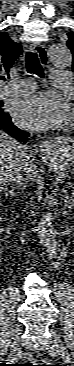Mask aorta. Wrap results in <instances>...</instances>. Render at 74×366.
I'll use <instances>...</instances> for the list:
<instances>
[{
	"label": "aorta",
	"instance_id": "1",
	"mask_svg": "<svg viewBox=\"0 0 74 366\" xmlns=\"http://www.w3.org/2000/svg\"><path fill=\"white\" fill-rule=\"evenodd\" d=\"M48 59L57 69H65L72 63L70 49L63 43H54L48 47ZM38 237L40 244L45 247L50 256H55L57 250L56 231L53 220L43 217L38 224Z\"/></svg>",
	"mask_w": 74,
	"mask_h": 366
}]
</instances>
